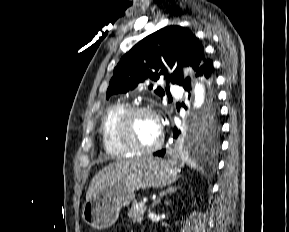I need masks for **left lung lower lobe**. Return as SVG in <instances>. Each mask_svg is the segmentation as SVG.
<instances>
[{"mask_svg":"<svg viewBox=\"0 0 289 232\" xmlns=\"http://www.w3.org/2000/svg\"><path fill=\"white\" fill-rule=\"evenodd\" d=\"M196 76H204L208 83L211 85V87L213 86L214 83V77H213V64L212 61L209 59H206L204 57L201 65L199 66L197 72H196ZM183 88L187 91L190 92L191 89V84L190 81H188L187 83H185L183 85ZM216 114L217 115V111H212L210 114ZM207 118L205 117L204 119H201V121L206 120ZM180 134V131L177 128H174L173 130V135L174 138H177ZM165 154V150H160L154 153V156H158V157H162Z\"/></svg>","mask_w":289,"mask_h":232,"instance_id":"obj_1","label":"left lung lower lobe"}]
</instances>
